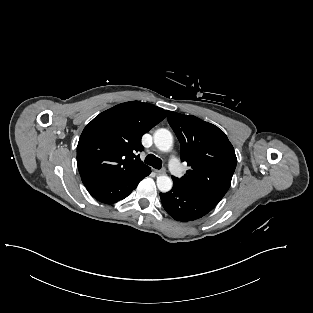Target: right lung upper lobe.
Instances as JSON below:
<instances>
[{
    "instance_id": "1",
    "label": "right lung upper lobe",
    "mask_w": 313,
    "mask_h": 313,
    "mask_svg": "<svg viewBox=\"0 0 313 313\" xmlns=\"http://www.w3.org/2000/svg\"><path fill=\"white\" fill-rule=\"evenodd\" d=\"M168 111L131 101L95 117L83 130L77 146V164L85 187L118 181L148 168L137 152L141 137L161 122Z\"/></svg>"
}]
</instances>
